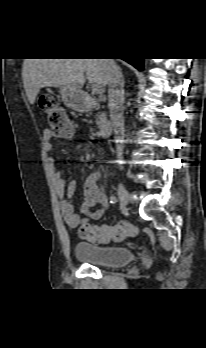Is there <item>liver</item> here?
Instances as JSON below:
<instances>
[{"label":"liver","mask_w":206,"mask_h":348,"mask_svg":"<svg viewBox=\"0 0 206 348\" xmlns=\"http://www.w3.org/2000/svg\"><path fill=\"white\" fill-rule=\"evenodd\" d=\"M22 78L30 104L43 87L80 91L86 79L101 86L108 83L103 59H24Z\"/></svg>","instance_id":"6515ba94"}]
</instances>
